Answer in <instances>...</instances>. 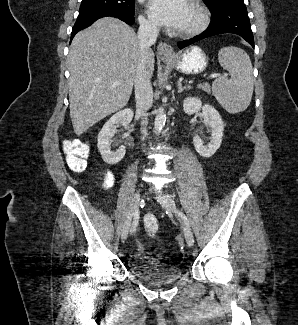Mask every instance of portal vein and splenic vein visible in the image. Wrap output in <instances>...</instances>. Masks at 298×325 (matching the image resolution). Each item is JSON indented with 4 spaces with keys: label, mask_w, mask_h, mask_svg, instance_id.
<instances>
[{
    "label": "portal vein and splenic vein",
    "mask_w": 298,
    "mask_h": 325,
    "mask_svg": "<svg viewBox=\"0 0 298 325\" xmlns=\"http://www.w3.org/2000/svg\"><path fill=\"white\" fill-rule=\"evenodd\" d=\"M215 76H220V74H218V72H216V74H210V76H208V78H215ZM118 82H120V80H116V82H114V84H118Z\"/></svg>",
    "instance_id": "portal-vein-and-splenic-vein-1"
}]
</instances>
